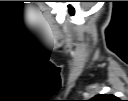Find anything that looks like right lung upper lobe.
<instances>
[{"mask_svg": "<svg viewBox=\"0 0 128 101\" xmlns=\"http://www.w3.org/2000/svg\"><path fill=\"white\" fill-rule=\"evenodd\" d=\"M96 101H116L117 98L114 95L100 94L95 97Z\"/></svg>", "mask_w": 128, "mask_h": 101, "instance_id": "cb5924a9", "label": "right lung upper lobe"}]
</instances>
